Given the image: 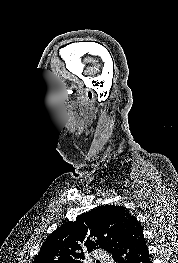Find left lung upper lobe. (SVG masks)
<instances>
[{
	"label": "left lung upper lobe",
	"instance_id": "left-lung-upper-lobe-1",
	"mask_svg": "<svg viewBox=\"0 0 178 263\" xmlns=\"http://www.w3.org/2000/svg\"><path fill=\"white\" fill-rule=\"evenodd\" d=\"M132 216L114 205L83 213L48 236L33 263H82L85 252L96 248L114 255Z\"/></svg>",
	"mask_w": 178,
	"mask_h": 263
}]
</instances>
